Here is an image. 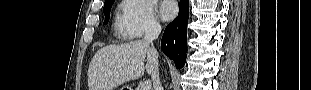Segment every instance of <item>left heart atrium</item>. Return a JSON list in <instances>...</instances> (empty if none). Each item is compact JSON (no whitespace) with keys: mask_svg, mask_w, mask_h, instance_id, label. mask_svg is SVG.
<instances>
[{"mask_svg":"<svg viewBox=\"0 0 311 90\" xmlns=\"http://www.w3.org/2000/svg\"><path fill=\"white\" fill-rule=\"evenodd\" d=\"M160 14L164 20H171L177 14V5L172 0H164L160 6Z\"/></svg>","mask_w":311,"mask_h":90,"instance_id":"1","label":"left heart atrium"}]
</instances>
